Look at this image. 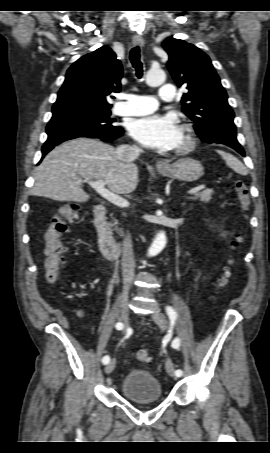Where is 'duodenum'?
<instances>
[{"mask_svg":"<svg viewBox=\"0 0 270 453\" xmlns=\"http://www.w3.org/2000/svg\"><path fill=\"white\" fill-rule=\"evenodd\" d=\"M94 226L99 240L100 251L109 259H117L121 254V248L117 244L106 220V207L98 205L94 209Z\"/></svg>","mask_w":270,"mask_h":453,"instance_id":"410a0bca","label":"duodenum"}]
</instances>
